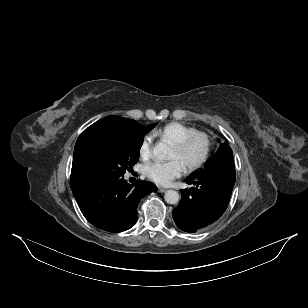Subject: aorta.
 Instances as JSON below:
<instances>
[{
	"label": "aorta",
	"instance_id": "obj_1",
	"mask_svg": "<svg viewBox=\"0 0 308 308\" xmlns=\"http://www.w3.org/2000/svg\"><path fill=\"white\" fill-rule=\"evenodd\" d=\"M153 154L160 160H166L170 157V148L164 143H159L153 148ZM164 199L168 204H176L179 201V194L170 189L165 192Z\"/></svg>",
	"mask_w": 308,
	"mask_h": 308
}]
</instances>
